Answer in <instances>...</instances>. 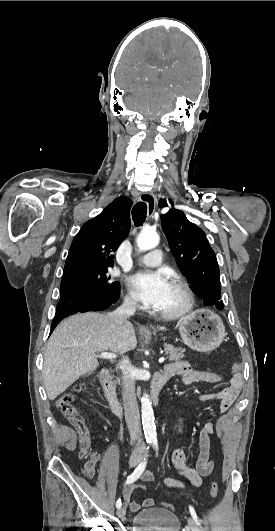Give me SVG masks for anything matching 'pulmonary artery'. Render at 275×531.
<instances>
[{
	"instance_id": "1",
	"label": "pulmonary artery",
	"mask_w": 275,
	"mask_h": 531,
	"mask_svg": "<svg viewBox=\"0 0 275 531\" xmlns=\"http://www.w3.org/2000/svg\"><path fill=\"white\" fill-rule=\"evenodd\" d=\"M150 255L151 253L149 254V256H143L142 258L136 257L135 261L138 264H144V265H149V266L158 265V263L160 262V259L163 256V253L161 250L155 249L151 257Z\"/></svg>"
}]
</instances>
